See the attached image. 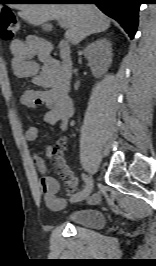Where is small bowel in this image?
<instances>
[{
    "instance_id": "small-bowel-1",
    "label": "small bowel",
    "mask_w": 156,
    "mask_h": 266,
    "mask_svg": "<svg viewBox=\"0 0 156 266\" xmlns=\"http://www.w3.org/2000/svg\"><path fill=\"white\" fill-rule=\"evenodd\" d=\"M44 44L38 38L31 36L26 40L16 39L10 43L13 73L19 78H32L38 87L22 92L19 101L22 106L27 108L46 106L45 122L51 125L57 124L61 130H65L74 112L73 103L69 96V87L64 85L59 78L58 65L41 49ZM39 62L42 63L41 66ZM38 133L37 127L30 126L25 132V139L33 142L38 137ZM45 154L53 161L61 174L66 190L68 192L75 191L78 181L65 163L62 148L48 145ZM33 162L40 173V187L46 205L54 211L63 209L67 202L65 198L57 195L60 188L59 182L47 174L46 164L37 153L33 154ZM99 201L98 195H93L88 199L91 204Z\"/></svg>"
}]
</instances>
